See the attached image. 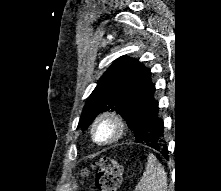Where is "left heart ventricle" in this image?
I'll list each match as a JSON object with an SVG mask.
<instances>
[{
  "mask_svg": "<svg viewBox=\"0 0 221 191\" xmlns=\"http://www.w3.org/2000/svg\"><path fill=\"white\" fill-rule=\"evenodd\" d=\"M112 134V127L109 124L101 125L96 132V137L99 141H104Z\"/></svg>",
  "mask_w": 221,
  "mask_h": 191,
  "instance_id": "obj_1",
  "label": "left heart ventricle"
}]
</instances>
